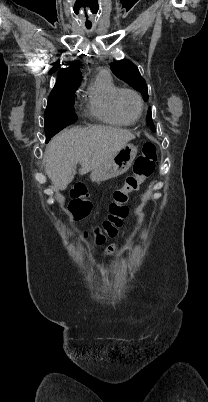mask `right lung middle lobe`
I'll list each match as a JSON object with an SVG mask.
<instances>
[{
	"label": "right lung middle lobe",
	"mask_w": 208,
	"mask_h": 402,
	"mask_svg": "<svg viewBox=\"0 0 208 402\" xmlns=\"http://www.w3.org/2000/svg\"><path fill=\"white\" fill-rule=\"evenodd\" d=\"M75 91L76 90H72L49 96L47 108L44 113L45 123L61 121L64 124L70 125L77 120L73 106Z\"/></svg>",
	"instance_id": "obj_1"
}]
</instances>
